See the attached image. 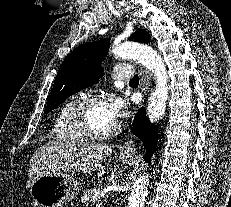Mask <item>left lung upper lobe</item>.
<instances>
[{"mask_svg":"<svg viewBox=\"0 0 231 207\" xmlns=\"http://www.w3.org/2000/svg\"><path fill=\"white\" fill-rule=\"evenodd\" d=\"M129 39L147 43L150 36L145 30H138ZM109 45V39L86 43L66 57L56 75L44 113L50 112L72 94L98 81L104 72L100 64L108 54Z\"/></svg>","mask_w":231,"mask_h":207,"instance_id":"1","label":"left lung upper lobe"}]
</instances>
